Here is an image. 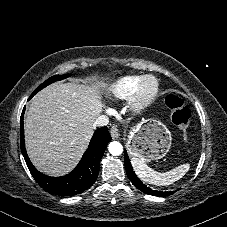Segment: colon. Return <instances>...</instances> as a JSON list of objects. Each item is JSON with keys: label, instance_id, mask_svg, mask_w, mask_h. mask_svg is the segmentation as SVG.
<instances>
[{"label": "colon", "instance_id": "colon-1", "mask_svg": "<svg viewBox=\"0 0 227 227\" xmlns=\"http://www.w3.org/2000/svg\"><path fill=\"white\" fill-rule=\"evenodd\" d=\"M167 106L170 109L173 123L184 136H187L191 112L184 100L177 94H170L167 97Z\"/></svg>", "mask_w": 227, "mask_h": 227}]
</instances>
